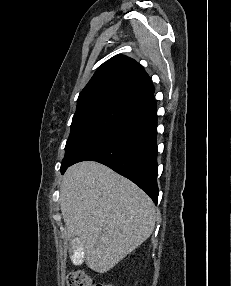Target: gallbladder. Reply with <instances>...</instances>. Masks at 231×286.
Wrapping results in <instances>:
<instances>
[{
	"instance_id": "bac80fb5",
	"label": "gallbladder",
	"mask_w": 231,
	"mask_h": 286,
	"mask_svg": "<svg viewBox=\"0 0 231 286\" xmlns=\"http://www.w3.org/2000/svg\"><path fill=\"white\" fill-rule=\"evenodd\" d=\"M70 245L68 246L69 251V256H70V261L71 263H75V265H82L84 263V258H85V252H84V247H82L83 240L79 239H71Z\"/></svg>"
}]
</instances>
